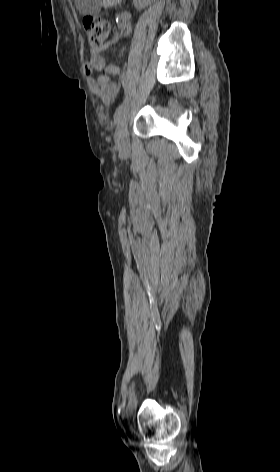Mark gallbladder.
Returning a JSON list of instances; mask_svg holds the SVG:
<instances>
[{
  "mask_svg": "<svg viewBox=\"0 0 280 472\" xmlns=\"http://www.w3.org/2000/svg\"><path fill=\"white\" fill-rule=\"evenodd\" d=\"M101 3V0H75L76 8L82 16L98 14Z\"/></svg>",
  "mask_w": 280,
  "mask_h": 472,
  "instance_id": "gallbladder-1",
  "label": "gallbladder"
}]
</instances>
